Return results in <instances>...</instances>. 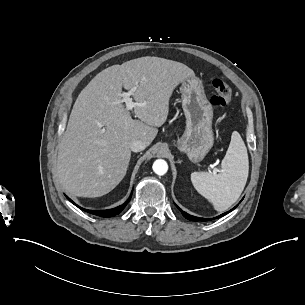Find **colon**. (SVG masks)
<instances>
[{"label": "colon", "mask_w": 305, "mask_h": 305, "mask_svg": "<svg viewBox=\"0 0 305 305\" xmlns=\"http://www.w3.org/2000/svg\"><path fill=\"white\" fill-rule=\"evenodd\" d=\"M214 95L211 96L210 102L216 108L229 105L233 99L229 85L219 75H214L211 80Z\"/></svg>", "instance_id": "1"}]
</instances>
